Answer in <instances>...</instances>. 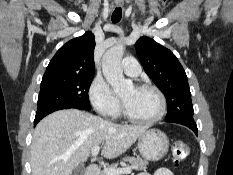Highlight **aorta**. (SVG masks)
Here are the masks:
<instances>
[{
  "instance_id": "762f6f07",
  "label": "aorta",
  "mask_w": 233,
  "mask_h": 175,
  "mask_svg": "<svg viewBox=\"0 0 233 175\" xmlns=\"http://www.w3.org/2000/svg\"><path fill=\"white\" fill-rule=\"evenodd\" d=\"M124 50L125 48L123 45H116L108 49L102 59L103 75L116 93L133 87L132 81L125 79L123 75L121 60Z\"/></svg>"
}]
</instances>
